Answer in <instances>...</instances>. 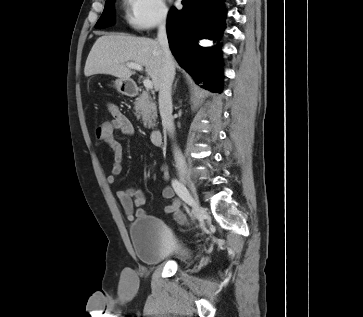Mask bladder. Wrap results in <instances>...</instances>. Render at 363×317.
<instances>
[{
	"label": "bladder",
	"mask_w": 363,
	"mask_h": 317,
	"mask_svg": "<svg viewBox=\"0 0 363 317\" xmlns=\"http://www.w3.org/2000/svg\"><path fill=\"white\" fill-rule=\"evenodd\" d=\"M128 232L142 264H158L171 258L182 264L190 257L188 246L177 239L171 229L157 218L142 216L131 223Z\"/></svg>",
	"instance_id": "bladder-1"
}]
</instances>
